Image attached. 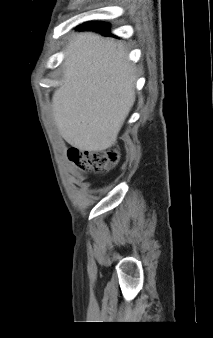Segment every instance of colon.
<instances>
[{"mask_svg":"<svg viewBox=\"0 0 213 338\" xmlns=\"http://www.w3.org/2000/svg\"><path fill=\"white\" fill-rule=\"evenodd\" d=\"M69 161L81 170L107 173L118 160V152L114 149L104 151L82 150L70 148L67 152Z\"/></svg>","mask_w":213,"mask_h":338,"instance_id":"5ec220e1","label":"colon"}]
</instances>
